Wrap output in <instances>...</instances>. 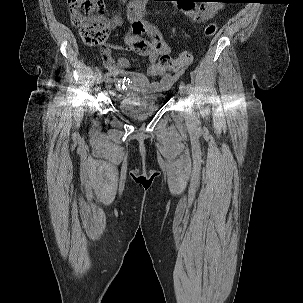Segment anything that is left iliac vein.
<instances>
[{"mask_svg":"<svg viewBox=\"0 0 303 303\" xmlns=\"http://www.w3.org/2000/svg\"><path fill=\"white\" fill-rule=\"evenodd\" d=\"M180 94H181L182 96H185V95H186V91H185V89H184V87H183V84L180 85Z\"/></svg>","mask_w":303,"mask_h":303,"instance_id":"obj_1","label":"left iliac vein"}]
</instances>
